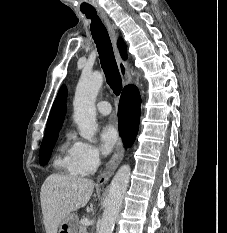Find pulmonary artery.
<instances>
[{
  "instance_id": "1",
  "label": "pulmonary artery",
  "mask_w": 227,
  "mask_h": 233,
  "mask_svg": "<svg viewBox=\"0 0 227 233\" xmlns=\"http://www.w3.org/2000/svg\"><path fill=\"white\" fill-rule=\"evenodd\" d=\"M97 110L104 116L109 115L111 113V105L107 101H100L97 103Z\"/></svg>"
}]
</instances>
